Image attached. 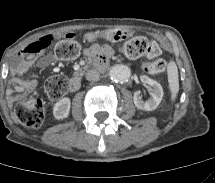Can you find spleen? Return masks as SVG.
Segmentation results:
<instances>
[{
    "mask_svg": "<svg viewBox=\"0 0 215 183\" xmlns=\"http://www.w3.org/2000/svg\"><path fill=\"white\" fill-rule=\"evenodd\" d=\"M168 83L171 91V100L175 101L179 91L178 70L175 63H171L168 68Z\"/></svg>",
    "mask_w": 215,
    "mask_h": 183,
    "instance_id": "1",
    "label": "spleen"
}]
</instances>
